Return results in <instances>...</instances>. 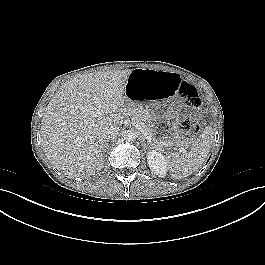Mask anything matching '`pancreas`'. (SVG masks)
<instances>
[{
    "label": "pancreas",
    "mask_w": 265,
    "mask_h": 265,
    "mask_svg": "<svg viewBox=\"0 0 265 265\" xmlns=\"http://www.w3.org/2000/svg\"><path fill=\"white\" fill-rule=\"evenodd\" d=\"M123 113L130 116L135 124H140L143 131L152 136L151 126L147 124V121L149 120V114L145 109L128 105L123 109Z\"/></svg>",
    "instance_id": "1"
}]
</instances>
